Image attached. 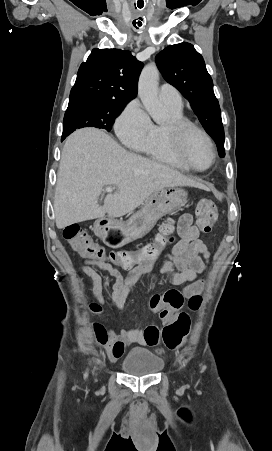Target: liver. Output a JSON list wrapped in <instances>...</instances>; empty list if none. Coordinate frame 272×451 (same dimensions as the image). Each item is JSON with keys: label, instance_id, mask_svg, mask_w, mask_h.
I'll return each mask as SVG.
<instances>
[{"label": "liver", "instance_id": "6515ba94", "mask_svg": "<svg viewBox=\"0 0 272 451\" xmlns=\"http://www.w3.org/2000/svg\"><path fill=\"white\" fill-rule=\"evenodd\" d=\"M104 186H117L103 206L98 200ZM201 184L177 170L151 162L121 148L103 130L82 128L67 138L59 164L54 196L59 229L85 220L120 218L133 212L157 190Z\"/></svg>", "mask_w": 272, "mask_h": 451}]
</instances>
